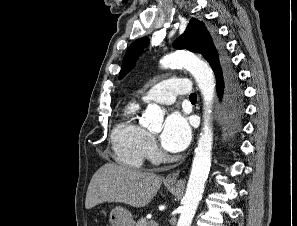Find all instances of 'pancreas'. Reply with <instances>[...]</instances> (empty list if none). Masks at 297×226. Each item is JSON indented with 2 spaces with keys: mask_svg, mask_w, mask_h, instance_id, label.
Instances as JSON below:
<instances>
[{
  "mask_svg": "<svg viewBox=\"0 0 297 226\" xmlns=\"http://www.w3.org/2000/svg\"><path fill=\"white\" fill-rule=\"evenodd\" d=\"M136 226H158V224L154 220H148L142 217L137 221Z\"/></svg>",
  "mask_w": 297,
  "mask_h": 226,
  "instance_id": "pancreas-1",
  "label": "pancreas"
}]
</instances>
